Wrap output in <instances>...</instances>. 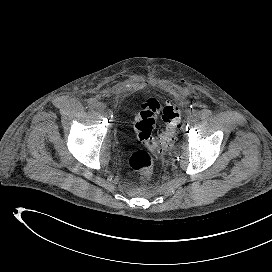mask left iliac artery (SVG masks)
Instances as JSON below:
<instances>
[{"instance_id": "44dca946", "label": "left iliac artery", "mask_w": 272, "mask_h": 272, "mask_svg": "<svg viewBox=\"0 0 272 272\" xmlns=\"http://www.w3.org/2000/svg\"><path fill=\"white\" fill-rule=\"evenodd\" d=\"M209 115H210V111H209V110H202V111L199 113V117H200L201 119H205V118H207Z\"/></svg>"}]
</instances>
